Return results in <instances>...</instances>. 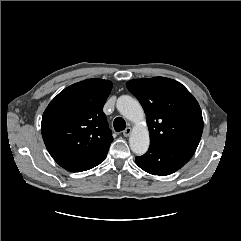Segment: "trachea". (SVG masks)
I'll return each instance as SVG.
<instances>
[{"label": "trachea", "mask_w": 241, "mask_h": 241, "mask_svg": "<svg viewBox=\"0 0 241 241\" xmlns=\"http://www.w3.org/2000/svg\"><path fill=\"white\" fill-rule=\"evenodd\" d=\"M116 132H120L126 128V122L122 117H117L113 123Z\"/></svg>", "instance_id": "trachea-1"}]
</instances>
